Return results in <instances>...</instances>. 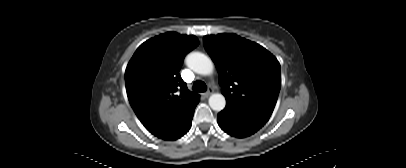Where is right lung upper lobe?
Wrapping results in <instances>:
<instances>
[{
    "instance_id": "1",
    "label": "right lung upper lobe",
    "mask_w": 406,
    "mask_h": 168,
    "mask_svg": "<svg viewBox=\"0 0 406 168\" xmlns=\"http://www.w3.org/2000/svg\"><path fill=\"white\" fill-rule=\"evenodd\" d=\"M193 35L168 32L139 46L125 71L129 102L145 128L164 139L200 100L179 75L184 56L198 46Z\"/></svg>"
}]
</instances>
